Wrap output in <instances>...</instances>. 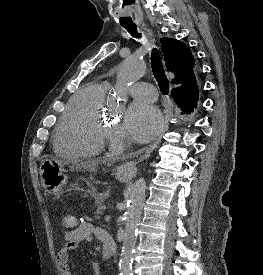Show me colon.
Returning <instances> with one entry per match:
<instances>
[{
    "label": "colon",
    "instance_id": "5ec220e1",
    "mask_svg": "<svg viewBox=\"0 0 263 275\" xmlns=\"http://www.w3.org/2000/svg\"><path fill=\"white\" fill-rule=\"evenodd\" d=\"M77 224V219L74 215L66 214L62 217V225L65 229H72Z\"/></svg>",
    "mask_w": 263,
    "mask_h": 275
}]
</instances>
